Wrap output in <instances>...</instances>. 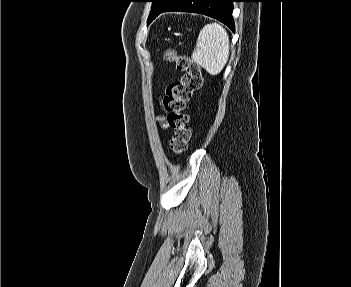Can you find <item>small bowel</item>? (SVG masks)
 I'll list each match as a JSON object with an SVG mask.
<instances>
[{
  "label": "small bowel",
  "instance_id": "c3829d8e",
  "mask_svg": "<svg viewBox=\"0 0 351 287\" xmlns=\"http://www.w3.org/2000/svg\"><path fill=\"white\" fill-rule=\"evenodd\" d=\"M159 121H160L161 125H162L164 128L167 127L166 122H165V118H164L163 116H160V117H159Z\"/></svg>",
  "mask_w": 351,
  "mask_h": 287
}]
</instances>
